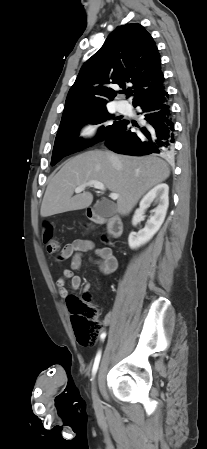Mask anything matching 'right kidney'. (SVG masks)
Returning <instances> with one entry per match:
<instances>
[{
  "instance_id": "1",
  "label": "right kidney",
  "mask_w": 207,
  "mask_h": 449,
  "mask_svg": "<svg viewBox=\"0 0 207 449\" xmlns=\"http://www.w3.org/2000/svg\"><path fill=\"white\" fill-rule=\"evenodd\" d=\"M169 187L165 183L158 184L151 189L140 201L139 208L136 210L132 224L136 226L143 219L145 210L150 206L152 202L157 204L154 209V215L150 216L144 229L138 233L131 232L128 238L129 247L136 249L141 245L147 243L160 229L166 217L168 205H169Z\"/></svg>"
}]
</instances>
